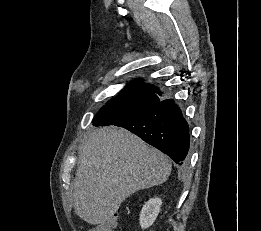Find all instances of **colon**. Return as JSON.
Listing matches in <instances>:
<instances>
[{
  "mask_svg": "<svg viewBox=\"0 0 261 231\" xmlns=\"http://www.w3.org/2000/svg\"><path fill=\"white\" fill-rule=\"evenodd\" d=\"M117 220V213L113 212L109 218L93 226L89 231H113Z\"/></svg>",
  "mask_w": 261,
  "mask_h": 231,
  "instance_id": "5ec220e1",
  "label": "colon"
}]
</instances>
